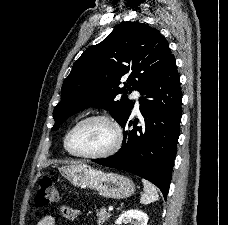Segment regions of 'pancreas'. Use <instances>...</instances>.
<instances>
[{"instance_id":"cf45deb5","label":"pancreas","mask_w":228,"mask_h":225,"mask_svg":"<svg viewBox=\"0 0 228 225\" xmlns=\"http://www.w3.org/2000/svg\"><path fill=\"white\" fill-rule=\"evenodd\" d=\"M96 217H98L97 225H103L105 221H108L111 215L110 213H106V209H101V211H98V209H96Z\"/></svg>"}]
</instances>
